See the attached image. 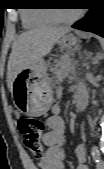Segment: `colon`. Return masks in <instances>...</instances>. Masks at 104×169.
I'll return each mask as SVG.
<instances>
[{
  "label": "colon",
  "instance_id": "1",
  "mask_svg": "<svg viewBox=\"0 0 104 169\" xmlns=\"http://www.w3.org/2000/svg\"><path fill=\"white\" fill-rule=\"evenodd\" d=\"M17 125L26 148L35 158L41 159L44 155L42 144L44 122L37 118L23 116L19 118Z\"/></svg>",
  "mask_w": 104,
  "mask_h": 169
}]
</instances>
